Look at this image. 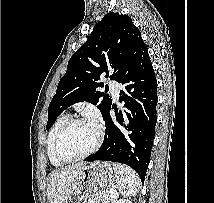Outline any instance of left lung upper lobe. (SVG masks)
<instances>
[{
    "label": "left lung upper lobe",
    "mask_w": 214,
    "mask_h": 203,
    "mask_svg": "<svg viewBox=\"0 0 214 203\" xmlns=\"http://www.w3.org/2000/svg\"><path fill=\"white\" fill-rule=\"evenodd\" d=\"M146 48L139 29L128 15L106 14L95 25L88 40L70 58L67 71L49 105L46 129L65 109L81 101L98 104L104 116L112 101L97 90L104 85L98 82L100 75L109 77L110 73V79L118 82Z\"/></svg>",
    "instance_id": "left-lung-upper-lobe-1"
}]
</instances>
